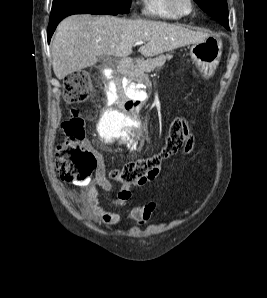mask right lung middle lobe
<instances>
[{
  "instance_id": "1",
  "label": "right lung middle lobe",
  "mask_w": 267,
  "mask_h": 298,
  "mask_svg": "<svg viewBox=\"0 0 267 298\" xmlns=\"http://www.w3.org/2000/svg\"><path fill=\"white\" fill-rule=\"evenodd\" d=\"M130 6L131 0H53L49 23L72 14H124Z\"/></svg>"
}]
</instances>
